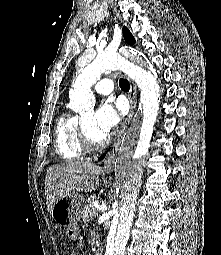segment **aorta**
Wrapping results in <instances>:
<instances>
[{"mask_svg": "<svg viewBox=\"0 0 221 255\" xmlns=\"http://www.w3.org/2000/svg\"><path fill=\"white\" fill-rule=\"evenodd\" d=\"M125 58H129L138 66L137 71L128 72L141 89L143 106L152 111V118L146 134L140 136L135 144L128 139L120 149L116 160L115 188L118 195V208L111 223L108 234L107 255H124L130 236L135 205L137 202L143 173V162L146 158L149 140L152 134L153 115L156 112L159 95L157 84L149 75L150 67L145 60L135 55L134 51L123 50L121 53L104 52L82 60L83 67L75 79L69 92L70 108L81 116L92 115L95 97L91 87L100 79L101 74L108 69L127 68Z\"/></svg>", "mask_w": 221, "mask_h": 255, "instance_id": "762f6f07", "label": "aorta"}]
</instances>
